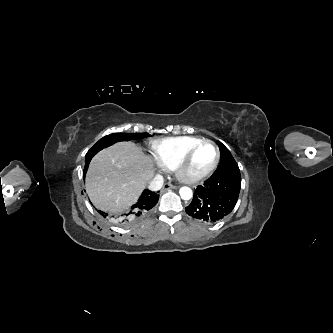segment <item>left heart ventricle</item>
I'll list each match as a JSON object with an SVG mask.
<instances>
[{
  "label": "left heart ventricle",
  "instance_id": "1",
  "mask_svg": "<svg viewBox=\"0 0 333 333\" xmlns=\"http://www.w3.org/2000/svg\"><path fill=\"white\" fill-rule=\"evenodd\" d=\"M216 159V150L210 144H204L199 147L186 167L187 175H197L203 173L214 163Z\"/></svg>",
  "mask_w": 333,
  "mask_h": 333
}]
</instances>
